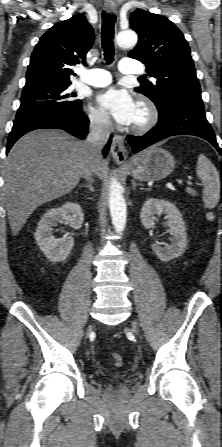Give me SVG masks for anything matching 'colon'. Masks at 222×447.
<instances>
[{"instance_id":"obj_1","label":"colon","mask_w":222,"mask_h":447,"mask_svg":"<svg viewBox=\"0 0 222 447\" xmlns=\"http://www.w3.org/2000/svg\"><path fill=\"white\" fill-rule=\"evenodd\" d=\"M112 362L115 367H119L122 365V357L119 354L114 353L112 355Z\"/></svg>"}]
</instances>
